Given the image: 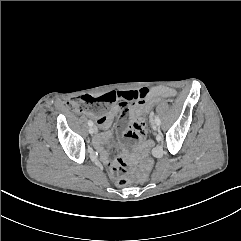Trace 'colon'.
I'll return each instance as SVG.
<instances>
[{"label": "colon", "mask_w": 241, "mask_h": 241, "mask_svg": "<svg viewBox=\"0 0 241 241\" xmlns=\"http://www.w3.org/2000/svg\"><path fill=\"white\" fill-rule=\"evenodd\" d=\"M127 100H123L121 101L120 99H118L116 96H114L111 93L102 95L100 97H92V96H88V95H83V96H79L76 97L74 99H72L69 102V106L70 108L75 111V112H87L92 114L95 117H101L103 116V114H105L110 105L113 103H120L123 107V109L125 110L127 107L126 104ZM163 103L167 104L168 106H173L174 105V99L173 98H169V97H164L163 98ZM157 104V101L155 99H152L149 102H146L145 104H141L140 108H139V118L141 119L142 122H147L148 121V114L150 113V110L152 108H154ZM125 123V116H121L120 119V124H124ZM150 148H151V143L149 140H144L141 143V153L143 156H148L150 153ZM116 169L118 172H125L127 166H128V162L124 157H120L117 162H116ZM147 173V169H143L141 172V175L144 177ZM129 183L128 178L124 177V176H120L117 179V184L119 186H126Z\"/></svg>", "instance_id": "obj_1"}]
</instances>
